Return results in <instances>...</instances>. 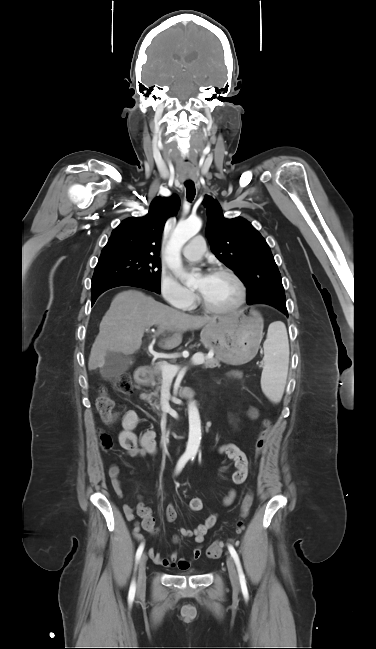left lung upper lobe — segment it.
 <instances>
[{
	"mask_svg": "<svg viewBox=\"0 0 376 649\" xmlns=\"http://www.w3.org/2000/svg\"><path fill=\"white\" fill-rule=\"evenodd\" d=\"M203 203L207 207L206 235L211 250L247 285V303L286 307L281 275L265 239L247 220L225 219L212 197L206 195Z\"/></svg>",
	"mask_w": 376,
	"mask_h": 649,
	"instance_id": "left-lung-upper-lobe-1",
	"label": "left lung upper lobe"
}]
</instances>
